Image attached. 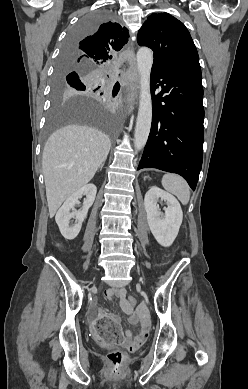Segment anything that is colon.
Returning <instances> with one entry per match:
<instances>
[{
  "label": "colon",
  "instance_id": "colon-1",
  "mask_svg": "<svg viewBox=\"0 0 248 389\" xmlns=\"http://www.w3.org/2000/svg\"><path fill=\"white\" fill-rule=\"evenodd\" d=\"M136 304V299L133 296L128 297L127 306L133 308ZM96 324L91 326V333H96L97 337L101 338L102 344H117L119 340H123L124 335L119 330L121 328L120 322H112L109 315H105L101 312L100 315L95 317ZM109 369L112 372H118L123 368L126 354L121 350H113L107 355Z\"/></svg>",
  "mask_w": 248,
  "mask_h": 389
}]
</instances>
